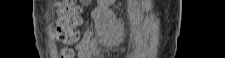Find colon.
<instances>
[{
	"label": "colon",
	"instance_id": "obj_1",
	"mask_svg": "<svg viewBox=\"0 0 225 58\" xmlns=\"http://www.w3.org/2000/svg\"><path fill=\"white\" fill-rule=\"evenodd\" d=\"M81 8L75 1L62 0L59 1V19L55 37L63 44H71L76 41L77 33L75 28L80 24ZM62 57H72V52L69 49H64Z\"/></svg>",
	"mask_w": 225,
	"mask_h": 58
}]
</instances>
